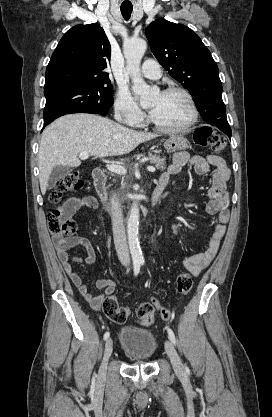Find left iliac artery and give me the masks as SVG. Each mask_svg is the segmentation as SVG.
Wrapping results in <instances>:
<instances>
[{
	"instance_id": "44dca946",
	"label": "left iliac artery",
	"mask_w": 272,
	"mask_h": 417,
	"mask_svg": "<svg viewBox=\"0 0 272 417\" xmlns=\"http://www.w3.org/2000/svg\"><path fill=\"white\" fill-rule=\"evenodd\" d=\"M142 264H143V262H142ZM166 329H167V332H168V335H169V339L175 345L176 344V339H175V335H174L173 331L168 326H166Z\"/></svg>"
}]
</instances>
